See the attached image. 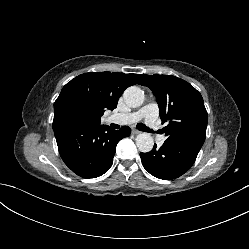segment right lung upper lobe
Returning <instances> with one entry per match:
<instances>
[{
  "label": "right lung upper lobe",
  "instance_id": "right-lung-upper-lobe-1",
  "mask_svg": "<svg viewBox=\"0 0 249 249\" xmlns=\"http://www.w3.org/2000/svg\"><path fill=\"white\" fill-rule=\"evenodd\" d=\"M145 75L123 73H85L81 74L62 89L54 103V121L56 111L61 103L66 100H78L84 104L87 110L86 121L83 126H100L101 116L106 109L113 110L124 90L137 83H141Z\"/></svg>",
  "mask_w": 249,
  "mask_h": 249
}]
</instances>
